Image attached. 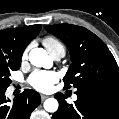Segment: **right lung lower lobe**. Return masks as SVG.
Wrapping results in <instances>:
<instances>
[{"mask_svg": "<svg viewBox=\"0 0 119 119\" xmlns=\"http://www.w3.org/2000/svg\"><path fill=\"white\" fill-rule=\"evenodd\" d=\"M5 90H0V119H29L31 112L40 104L38 92L26 89L18 97L14 98L13 104L5 97Z\"/></svg>", "mask_w": 119, "mask_h": 119, "instance_id": "98d812e1", "label": "right lung lower lobe"}]
</instances>
